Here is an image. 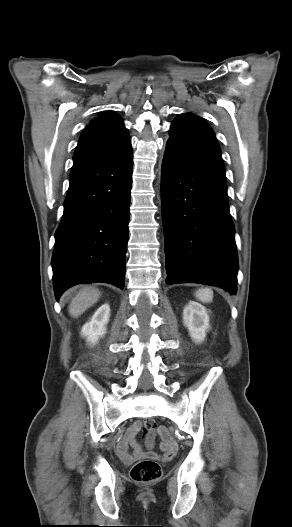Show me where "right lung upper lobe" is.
<instances>
[{
    "instance_id": "1",
    "label": "right lung upper lobe",
    "mask_w": 292,
    "mask_h": 527,
    "mask_svg": "<svg viewBox=\"0 0 292 527\" xmlns=\"http://www.w3.org/2000/svg\"><path fill=\"white\" fill-rule=\"evenodd\" d=\"M130 137L120 116L114 112L95 118L82 132L75 156L113 153L130 146Z\"/></svg>"
}]
</instances>
